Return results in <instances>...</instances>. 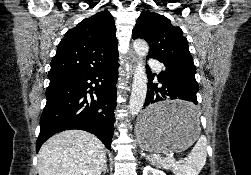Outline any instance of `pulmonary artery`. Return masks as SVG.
Segmentation results:
<instances>
[{
  "label": "pulmonary artery",
  "mask_w": 251,
  "mask_h": 175,
  "mask_svg": "<svg viewBox=\"0 0 251 175\" xmlns=\"http://www.w3.org/2000/svg\"><path fill=\"white\" fill-rule=\"evenodd\" d=\"M147 67H151V70H166V65H160L159 62H155V58H149Z\"/></svg>",
  "instance_id": "pulmonary-artery-1"
}]
</instances>
